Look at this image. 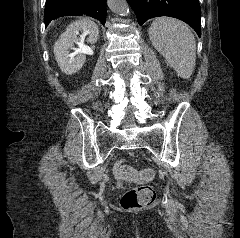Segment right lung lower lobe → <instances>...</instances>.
I'll use <instances>...</instances> for the list:
<instances>
[{"instance_id":"98d812e1","label":"right lung lower lobe","mask_w":240,"mask_h":238,"mask_svg":"<svg viewBox=\"0 0 240 238\" xmlns=\"http://www.w3.org/2000/svg\"><path fill=\"white\" fill-rule=\"evenodd\" d=\"M88 15L106 22V0H46L44 22L47 26L52 20L62 16Z\"/></svg>"}]
</instances>
